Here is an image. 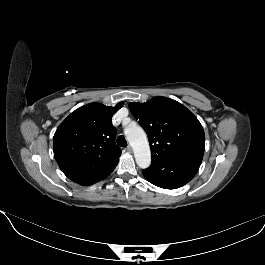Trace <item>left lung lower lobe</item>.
Segmentation results:
<instances>
[{"label":"left lung lower lobe","instance_id":"obj_1","mask_svg":"<svg viewBox=\"0 0 265 265\" xmlns=\"http://www.w3.org/2000/svg\"><path fill=\"white\" fill-rule=\"evenodd\" d=\"M203 154L152 163L143 170L144 177L152 184L164 189H176L188 183L197 173Z\"/></svg>","mask_w":265,"mask_h":265}]
</instances>
